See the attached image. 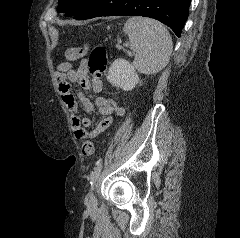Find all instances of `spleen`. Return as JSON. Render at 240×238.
<instances>
[{"label":"spleen","instance_id":"spleen-1","mask_svg":"<svg viewBox=\"0 0 240 238\" xmlns=\"http://www.w3.org/2000/svg\"><path fill=\"white\" fill-rule=\"evenodd\" d=\"M123 31L128 35L130 48L136 52L133 65L138 71L152 75L167 65L173 43L171 35L160 22L131 17Z\"/></svg>","mask_w":240,"mask_h":238}]
</instances>
